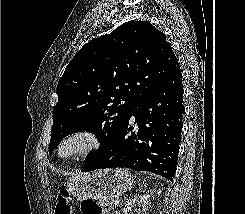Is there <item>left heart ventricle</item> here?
Wrapping results in <instances>:
<instances>
[{
  "label": "left heart ventricle",
  "mask_w": 245,
  "mask_h": 214,
  "mask_svg": "<svg viewBox=\"0 0 245 214\" xmlns=\"http://www.w3.org/2000/svg\"><path fill=\"white\" fill-rule=\"evenodd\" d=\"M72 148H73V147H69V148H67V151L72 150Z\"/></svg>",
  "instance_id": "left-heart-ventricle-1"
}]
</instances>
